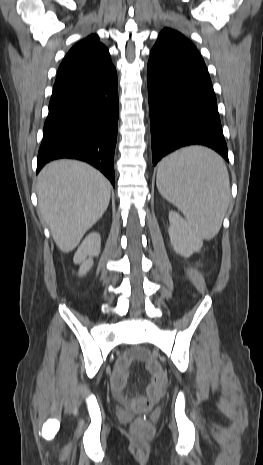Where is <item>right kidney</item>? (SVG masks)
Segmentation results:
<instances>
[{"label": "right kidney", "mask_w": 263, "mask_h": 465, "mask_svg": "<svg viewBox=\"0 0 263 465\" xmlns=\"http://www.w3.org/2000/svg\"><path fill=\"white\" fill-rule=\"evenodd\" d=\"M101 238L96 232L90 233L78 247L73 261L80 264L79 275H85L93 266V257L100 253Z\"/></svg>", "instance_id": "1"}]
</instances>
